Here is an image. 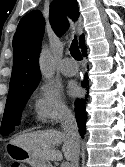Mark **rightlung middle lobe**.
<instances>
[{"label": "right lung middle lobe", "instance_id": "right-lung-middle-lobe-1", "mask_svg": "<svg viewBox=\"0 0 125 167\" xmlns=\"http://www.w3.org/2000/svg\"><path fill=\"white\" fill-rule=\"evenodd\" d=\"M34 90L35 89L12 97H7L0 129L2 135L11 133L14 131V127L20 124L21 112Z\"/></svg>", "mask_w": 125, "mask_h": 167}]
</instances>
